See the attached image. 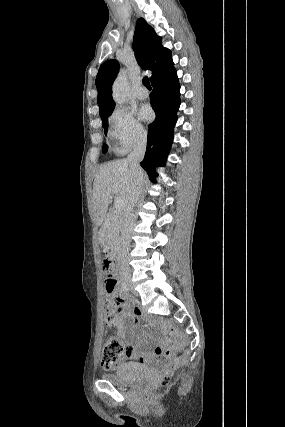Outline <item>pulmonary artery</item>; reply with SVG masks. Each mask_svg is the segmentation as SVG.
Instances as JSON below:
<instances>
[{"label": "pulmonary artery", "mask_w": 285, "mask_h": 427, "mask_svg": "<svg viewBox=\"0 0 285 427\" xmlns=\"http://www.w3.org/2000/svg\"><path fill=\"white\" fill-rule=\"evenodd\" d=\"M136 97L140 100L146 99L148 97V91L141 87L136 91Z\"/></svg>", "instance_id": "e3ab8cb5"}]
</instances>
